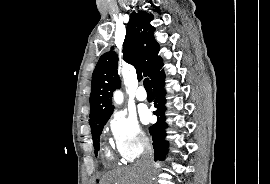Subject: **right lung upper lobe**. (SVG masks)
<instances>
[{"label":"right lung upper lobe","instance_id":"right-lung-upper-lobe-1","mask_svg":"<svg viewBox=\"0 0 270 184\" xmlns=\"http://www.w3.org/2000/svg\"><path fill=\"white\" fill-rule=\"evenodd\" d=\"M151 20L153 15L145 11L131 13L123 45V58L135 67L138 78L149 76L152 82L160 74L163 60L158 56L159 44L154 39L155 28L150 25ZM117 63V55L112 51L106 52L93 71L90 126L108 120L113 112L110 99L113 91L121 85Z\"/></svg>","mask_w":270,"mask_h":184}]
</instances>
